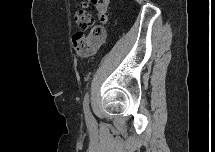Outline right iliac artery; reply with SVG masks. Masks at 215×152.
I'll return each mask as SVG.
<instances>
[{
	"instance_id": "1",
	"label": "right iliac artery",
	"mask_w": 215,
	"mask_h": 152,
	"mask_svg": "<svg viewBox=\"0 0 215 152\" xmlns=\"http://www.w3.org/2000/svg\"><path fill=\"white\" fill-rule=\"evenodd\" d=\"M83 109H84L85 117L89 121L91 119V113L89 110V95H88V93H86L85 98H84Z\"/></svg>"
}]
</instances>
